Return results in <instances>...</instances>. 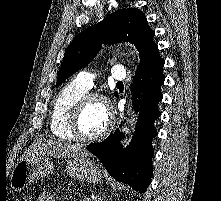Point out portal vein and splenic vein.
Here are the masks:
<instances>
[{
    "label": "portal vein and splenic vein",
    "instance_id": "18ae733b",
    "mask_svg": "<svg viewBox=\"0 0 221 201\" xmlns=\"http://www.w3.org/2000/svg\"><path fill=\"white\" fill-rule=\"evenodd\" d=\"M84 201H91V199L89 197H85Z\"/></svg>",
    "mask_w": 221,
    "mask_h": 201
}]
</instances>
